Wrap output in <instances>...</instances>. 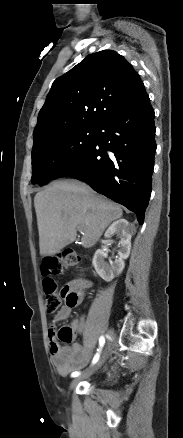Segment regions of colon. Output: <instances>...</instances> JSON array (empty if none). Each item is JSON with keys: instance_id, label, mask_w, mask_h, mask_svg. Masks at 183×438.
<instances>
[{"instance_id": "1", "label": "colon", "mask_w": 183, "mask_h": 438, "mask_svg": "<svg viewBox=\"0 0 183 438\" xmlns=\"http://www.w3.org/2000/svg\"><path fill=\"white\" fill-rule=\"evenodd\" d=\"M79 255L72 249H66L59 254L43 260L41 265L43 280V290L45 293V308L48 313L56 312L63 299L66 304L75 306L79 301V295L69 286H65L60 293L57 292V284L52 276L59 275L69 267L79 262ZM58 338L65 343H69L74 338V330L71 325H65L58 331Z\"/></svg>"}]
</instances>
